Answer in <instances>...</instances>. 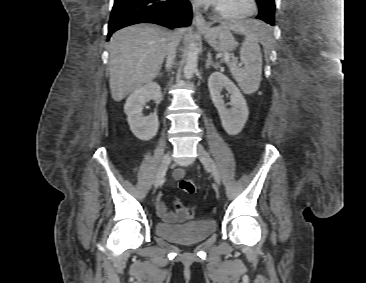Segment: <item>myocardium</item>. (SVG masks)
Wrapping results in <instances>:
<instances>
[{"mask_svg":"<svg viewBox=\"0 0 366 283\" xmlns=\"http://www.w3.org/2000/svg\"><path fill=\"white\" fill-rule=\"evenodd\" d=\"M257 8H258L257 0H247V8L239 12H231L224 10L220 8L217 4H214L213 6V10L218 15V17L229 21L248 18L256 13Z\"/></svg>","mask_w":366,"mask_h":283,"instance_id":"obj_1","label":"myocardium"}]
</instances>
